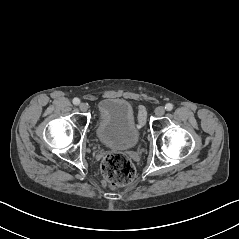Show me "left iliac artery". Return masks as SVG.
Segmentation results:
<instances>
[{
  "label": "left iliac artery",
  "mask_w": 239,
  "mask_h": 239,
  "mask_svg": "<svg viewBox=\"0 0 239 239\" xmlns=\"http://www.w3.org/2000/svg\"><path fill=\"white\" fill-rule=\"evenodd\" d=\"M165 109H166L167 111H171V110L173 109V105H172L171 103H167V104L165 105Z\"/></svg>",
  "instance_id": "44dca946"
}]
</instances>
